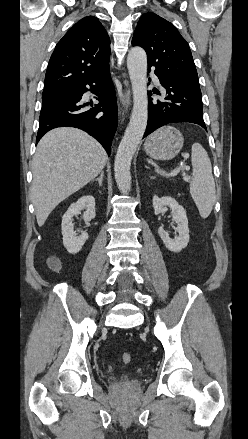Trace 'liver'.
Masks as SVG:
<instances>
[{
  "mask_svg": "<svg viewBox=\"0 0 248 439\" xmlns=\"http://www.w3.org/2000/svg\"><path fill=\"white\" fill-rule=\"evenodd\" d=\"M106 161L101 144L84 131L62 127L45 134L32 163L30 193L38 226L59 203L93 180Z\"/></svg>",
  "mask_w": 248,
  "mask_h": 439,
  "instance_id": "1",
  "label": "liver"
}]
</instances>
